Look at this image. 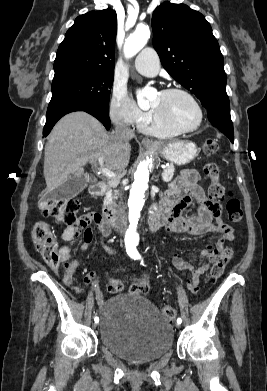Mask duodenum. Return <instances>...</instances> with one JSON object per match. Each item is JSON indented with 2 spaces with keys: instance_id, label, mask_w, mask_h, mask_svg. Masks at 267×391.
Here are the masks:
<instances>
[{
  "instance_id": "1",
  "label": "duodenum",
  "mask_w": 267,
  "mask_h": 391,
  "mask_svg": "<svg viewBox=\"0 0 267 391\" xmlns=\"http://www.w3.org/2000/svg\"><path fill=\"white\" fill-rule=\"evenodd\" d=\"M106 184L103 182H96L90 187V193L95 196L99 197L102 196L106 192ZM103 216L105 219L106 224L109 227H114L116 224V210L114 208H104L103 210ZM164 224V218L163 216L158 212L151 216L149 220V227L151 231H156Z\"/></svg>"
}]
</instances>
